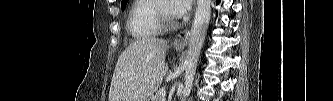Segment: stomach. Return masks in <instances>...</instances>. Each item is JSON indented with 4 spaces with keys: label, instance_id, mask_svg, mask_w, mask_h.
I'll use <instances>...</instances> for the list:
<instances>
[{
    "label": "stomach",
    "instance_id": "stomach-1",
    "mask_svg": "<svg viewBox=\"0 0 333 101\" xmlns=\"http://www.w3.org/2000/svg\"><path fill=\"white\" fill-rule=\"evenodd\" d=\"M176 49L178 50V51H180L181 49H182V47H176ZM146 101H151L150 99H147Z\"/></svg>",
    "mask_w": 333,
    "mask_h": 101
}]
</instances>
